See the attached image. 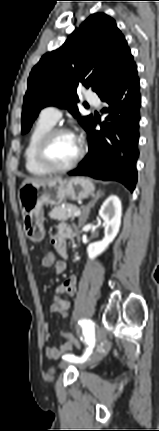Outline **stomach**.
<instances>
[{"instance_id":"0dacf381","label":"stomach","mask_w":159,"mask_h":431,"mask_svg":"<svg viewBox=\"0 0 159 431\" xmlns=\"http://www.w3.org/2000/svg\"><path fill=\"white\" fill-rule=\"evenodd\" d=\"M94 190L93 183L84 177L58 178L44 184H22L18 199L26 236L34 242L43 240L45 230L42 207L45 204L59 205L66 199L81 200L93 195Z\"/></svg>"}]
</instances>
